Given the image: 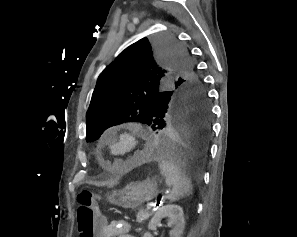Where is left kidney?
<instances>
[{"label": "left kidney", "mask_w": 297, "mask_h": 237, "mask_svg": "<svg viewBox=\"0 0 297 237\" xmlns=\"http://www.w3.org/2000/svg\"><path fill=\"white\" fill-rule=\"evenodd\" d=\"M169 217L168 227H171L170 237H181L185 228V219L183 209L175 204L161 206L148 224V229L156 230L157 225L162 218ZM143 237H152L150 232L144 234Z\"/></svg>", "instance_id": "obj_1"}]
</instances>
